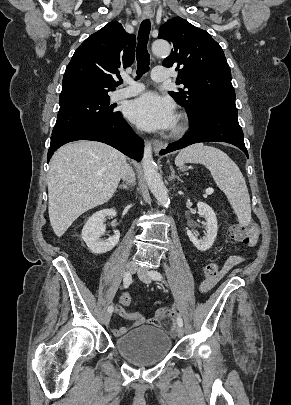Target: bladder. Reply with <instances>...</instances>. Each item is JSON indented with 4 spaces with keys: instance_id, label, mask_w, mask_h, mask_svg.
I'll list each match as a JSON object with an SVG mask.
<instances>
[{
    "instance_id": "bladder-1",
    "label": "bladder",
    "mask_w": 291,
    "mask_h": 405,
    "mask_svg": "<svg viewBox=\"0 0 291 405\" xmlns=\"http://www.w3.org/2000/svg\"><path fill=\"white\" fill-rule=\"evenodd\" d=\"M171 338L163 330L141 325L119 336L115 350L132 365L147 367L164 360L171 351Z\"/></svg>"
}]
</instances>
